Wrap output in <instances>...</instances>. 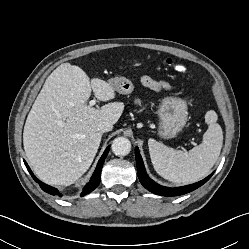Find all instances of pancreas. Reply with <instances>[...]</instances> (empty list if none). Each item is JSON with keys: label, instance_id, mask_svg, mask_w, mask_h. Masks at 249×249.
Returning <instances> with one entry per match:
<instances>
[{"label": "pancreas", "instance_id": "cf45deb5", "mask_svg": "<svg viewBox=\"0 0 249 249\" xmlns=\"http://www.w3.org/2000/svg\"><path fill=\"white\" fill-rule=\"evenodd\" d=\"M135 103L140 104V103H141V101H140L139 99H136V100H135Z\"/></svg>", "mask_w": 249, "mask_h": 249}]
</instances>
